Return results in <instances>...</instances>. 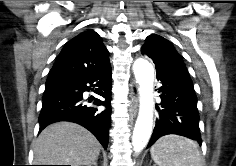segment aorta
<instances>
[{"mask_svg":"<svg viewBox=\"0 0 236 166\" xmlns=\"http://www.w3.org/2000/svg\"><path fill=\"white\" fill-rule=\"evenodd\" d=\"M139 84L140 107L132 136L133 149L140 152L148 143L153 126V82L154 68L147 60L139 58L133 65Z\"/></svg>","mask_w":236,"mask_h":166,"instance_id":"1","label":"aorta"}]
</instances>
